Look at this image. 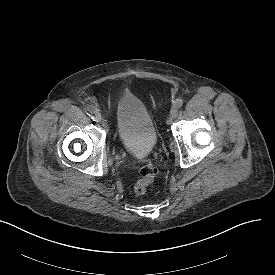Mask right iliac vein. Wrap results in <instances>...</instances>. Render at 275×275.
<instances>
[{"label": "right iliac vein", "mask_w": 275, "mask_h": 275, "mask_svg": "<svg viewBox=\"0 0 275 275\" xmlns=\"http://www.w3.org/2000/svg\"><path fill=\"white\" fill-rule=\"evenodd\" d=\"M94 115H95L96 120H98V121L101 120V113H100L99 109H97V108L95 109Z\"/></svg>", "instance_id": "1"}]
</instances>
